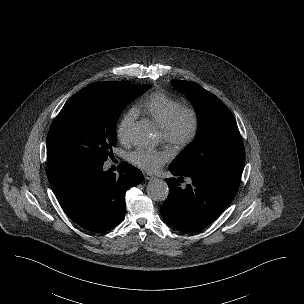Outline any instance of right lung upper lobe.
I'll return each instance as SVG.
<instances>
[{"label":"right lung upper lobe","instance_id":"right-lung-upper-lobe-1","mask_svg":"<svg viewBox=\"0 0 304 304\" xmlns=\"http://www.w3.org/2000/svg\"><path fill=\"white\" fill-rule=\"evenodd\" d=\"M116 83H119V82L108 81V82H99V83H94V84L112 85V84H116ZM94 84H91V85H94ZM72 171H74V170L71 168L59 165V164L53 162L52 160L47 159L46 172H47V177H48L50 184L64 176L68 175Z\"/></svg>","mask_w":304,"mask_h":304}]
</instances>
